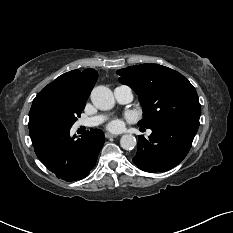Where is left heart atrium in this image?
<instances>
[{
	"label": "left heart atrium",
	"instance_id": "1",
	"mask_svg": "<svg viewBox=\"0 0 233 233\" xmlns=\"http://www.w3.org/2000/svg\"><path fill=\"white\" fill-rule=\"evenodd\" d=\"M121 127H122V122L118 119H114L108 124V128L115 131L121 129Z\"/></svg>",
	"mask_w": 233,
	"mask_h": 233
}]
</instances>
